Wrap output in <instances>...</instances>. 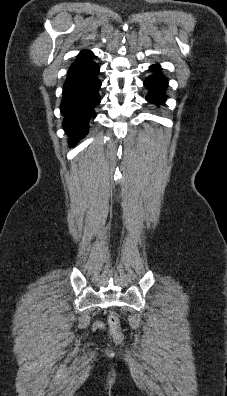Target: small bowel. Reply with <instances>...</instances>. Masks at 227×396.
Returning a JSON list of instances; mask_svg holds the SVG:
<instances>
[{
  "mask_svg": "<svg viewBox=\"0 0 227 396\" xmlns=\"http://www.w3.org/2000/svg\"><path fill=\"white\" fill-rule=\"evenodd\" d=\"M100 328H102V323L96 322V323L94 324V329H100Z\"/></svg>",
  "mask_w": 227,
  "mask_h": 396,
  "instance_id": "small-bowel-1",
  "label": "small bowel"
}]
</instances>
